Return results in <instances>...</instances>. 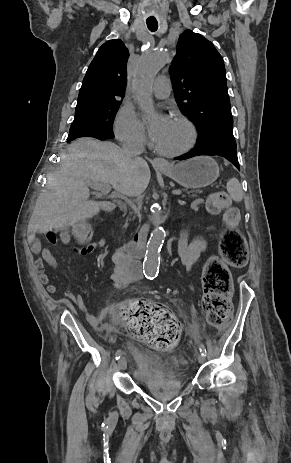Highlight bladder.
Returning a JSON list of instances; mask_svg holds the SVG:
<instances>
[{
    "mask_svg": "<svg viewBox=\"0 0 291 463\" xmlns=\"http://www.w3.org/2000/svg\"><path fill=\"white\" fill-rule=\"evenodd\" d=\"M128 349H130L131 355L135 358L136 364L143 368L142 374L137 377L139 383L143 386L149 388L159 387L161 384H164L180 388L185 384V381L180 377L165 378L156 368L149 367L148 365L153 359L146 354L145 348L141 346H129Z\"/></svg>",
    "mask_w": 291,
    "mask_h": 463,
    "instance_id": "31cf9c89",
    "label": "bladder"
}]
</instances>
